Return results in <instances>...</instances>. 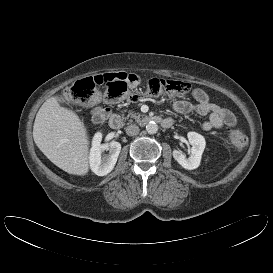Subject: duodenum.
Here are the masks:
<instances>
[{
    "label": "duodenum",
    "instance_id": "1",
    "mask_svg": "<svg viewBox=\"0 0 273 273\" xmlns=\"http://www.w3.org/2000/svg\"><path fill=\"white\" fill-rule=\"evenodd\" d=\"M103 114H104V111H102L99 114V117H102ZM107 121H108L109 126L114 130H117L121 127V118L118 114H115V113L109 114L107 117ZM139 123L142 126L156 123V124L162 125L165 128H169L173 124L172 120H170V119H161L159 117H150V116H145V117L140 118Z\"/></svg>",
    "mask_w": 273,
    "mask_h": 273
}]
</instances>
